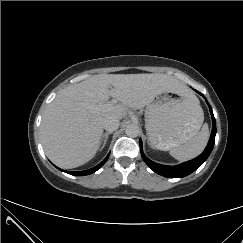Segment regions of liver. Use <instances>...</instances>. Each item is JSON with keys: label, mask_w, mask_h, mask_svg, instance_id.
<instances>
[{"label": "liver", "mask_w": 243, "mask_h": 243, "mask_svg": "<svg viewBox=\"0 0 243 243\" xmlns=\"http://www.w3.org/2000/svg\"><path fill=\"white\" fill-rule=\"evenodd\" d=\"M184 94L187 87L166 74H99L58 92L41 122L44 151L57 166L71 169L91 160L101 145L106 118L122 119L129 108L141 109L162 93ZM109 97L119 105L98 111Z\"/></svg>", "instance_id": "1"}]
</instances>
